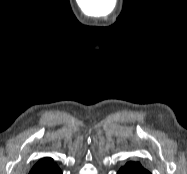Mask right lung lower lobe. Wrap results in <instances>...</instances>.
Here are the masks:
<instances>
[{
	"label": "right lung lower lobe",
	"instance_id": "obj_1",
	"mask_svg": "<svg viewBox=\"0 0 187 174\" xmlns=\"http://www.w3.org/2000/svg\"><path fill=\"white\" fill-rule=\"evenodd\" d=\"M53 174H61V171L59 170L58 172H56V173H53Z\"/></svg>",
	"mask_w": 187,
	"mask_h": 174
}]
</instances>
